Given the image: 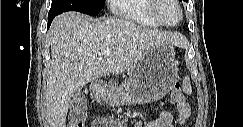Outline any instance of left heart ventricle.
<instances>
[{
	"label": "left heart ventricle",
	"mask_w": 243,
	"mask_h": 127,
	"mask_svg": "<svg viewBox=\"0 0 243 127\" xmlns=\"http://www.w3.org/2000/svg\"><path fill=\"white\" fill-rule=\"evenodd\" d=\"M162 18L168 23H175L180 18L178 6L172 0H164L160 7Z\"/></svg>",
	"instance_id": "left-heart-ventricle-1"
}]
</instances>
